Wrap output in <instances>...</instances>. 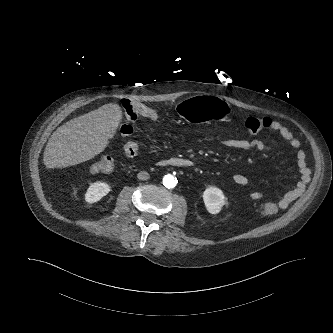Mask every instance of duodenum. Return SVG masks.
Segmentation results:
<instances>
[{
	"label": "duodenum",
	"mask_w": 333,
	"mask_h": 333,
	"mask_svg": "<svg viewBox=\"0 0 333 333\" xmlns=\"http://www.w3.org/2000/svg\"><path fill=\"white\" fill-rule=\"evenodd\" d=\"M159 165L169 166V167L189 168L193 166V162L189 159L182 157H171L168 159L161 160L159 162Z\"/></svg>",
	"instance_id": "410a0bca"
}]
</instances>
